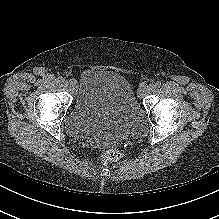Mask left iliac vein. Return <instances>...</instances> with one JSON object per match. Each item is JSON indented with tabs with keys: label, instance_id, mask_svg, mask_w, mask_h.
I'll use <instances>...</instances> for the list:
<instances>
[{
	"label": "left iliac vein",
	"instance_id": "1",
	"mask_svg": "<svg viewBox=\"0 0 219 219\" xmlns=\"http://www.w3.org/2000/svg\"><path fill=\"white\" fill-rule=\"evenodd\" d=\"M153 86L151 84H142L138 89V95L139 97H143L145 95H148L152 92Z\"/></svg>",
	"mask_w": 219,
	"mask_h": 219
}]
</instances>
